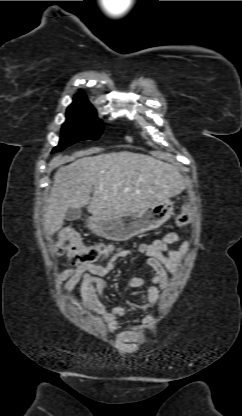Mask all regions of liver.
I'll list each match as a JSON object with an SVG mask.
<instances>
[{"label": "liver", "mask_w": 242, "mask_h": 416, "mask_svg": "<svg viewBox=\"0 0 242 416\" xmlns=\"http://www.w3.org/2000/svg\"><path fill=\"white\" fill-rule=\"evenodd\" d=\"M185 186L177 167L151 156L128 151L85 156L54 175L44 231L47 236L58 232L69 208L88 205L94 216L139 213L178 195Z\"/></svg>", "instance_id": "obj_1"}]
</instances>
